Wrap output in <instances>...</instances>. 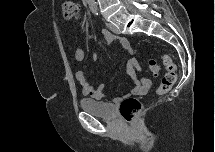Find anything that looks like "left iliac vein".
<instances>
[{"label":"left iliac vein","mask_w":215,"mask_h":152,"mask_svg":"<svg viewBox=\"0 0 215 152\" xmlns=\"http://www.w3.org/2000/svg\"><path fill=\"white\" fill-rule=\"evenodd\" d=\"M106 25L112 32H114L116 34L120 33L119 29L114 24H112L110 22H106Z\"/></svg>","instance_id":"obj_1"}]
</instances>
